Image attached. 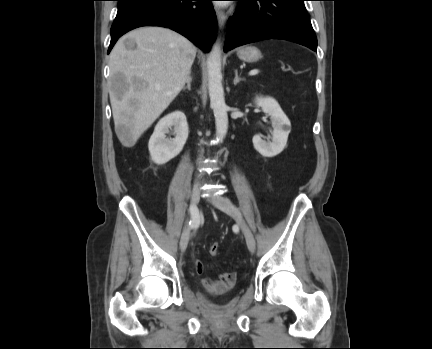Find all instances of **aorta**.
<instances>
[{"mask_svg": "<svg viewBox=\"0 0 432 349\" xmlns=\"http://www.w3.org/2000/svg\"><path fill=\"white\" fill-rule=\"evenodd\" d=\"M207 72L210 106L214 112L217 140L222 141L228 130V115L222 85L221 49L218 43L213 45L208 56Z\"/></svg>", "mask_w": 432, "mask_h": 349, "instance_id": "obj_1", "label": "aorta"}]
</instances>
